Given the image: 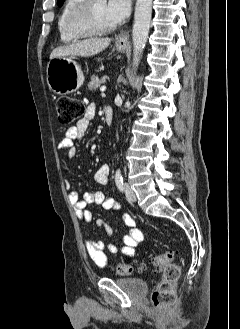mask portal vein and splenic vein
Here are the masks:
<instances>
[{
	"label": "portal vein and splenic vein",
	"instance_id": "obj_1",
	"mask_svg": "<svg viewBox=\"0 0 240 329\" xmlns=\"http://www.w3.org/2000/svg\"><path fill=\"white\" fill-rule=\"evenodd\" d=\"M100 90L103 92V91H105L106 90V86H102L101 88H100Z\"/></svg>",
	"mask_w": 240,
	"mask_h": 329
}]
</instances>
